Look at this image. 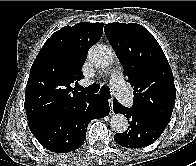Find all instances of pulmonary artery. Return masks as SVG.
<instances>
[{"instance_id": "e3ab8cb5", "label": "pulmonary artery", "mask_w": 196, "mask_h": 166, "mask_svg": "<svg viewBox=\"0 0 196 166\" xmlns=\"http://www.w3.org/2000/svg\"><path fill=\"white\" fill-rule=\"evenodd\" d=\"M110 86L115 96L123 105L129 106L131 104L132 96L128 92L123 76L120 72L117 71L112 74Z\"/></svg>"}]
</instances>
